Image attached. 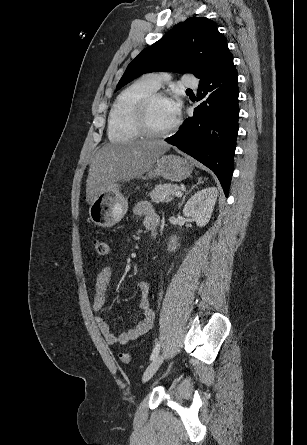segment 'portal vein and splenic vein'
<instances>
[{"label":"portal vein and splenic vein","mask_w":307,"mask_h":445,"mask_svg":"<svg viewBox=\"0 0 307 445\" xmlns=\"http://www.w3.org/2000/svg\"><path fill=\"white\" fill-rule=\"evenodd\" d=\"M175 196H182V192H180V190H178V192H175Z\"/></svg>","instance_id":"18ae733b"}]
</instances>
